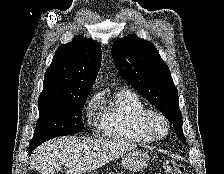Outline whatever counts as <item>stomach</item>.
Returning <instances> with one entry per match:
<instances>
[{"mask_svg":"<svg viewBox=\"0 0 224 174\" xmlns=\"http://www.w3.org/2000/svg\"><path fill=\"white\" fill-rule=\"evenodd\" d=\"M149 160V156L145 151L131 150L124 155L122 167L133 172L141 171L147 166Z\"/></svg>","mask_w":224,"mask_h":174,"instance_id":"0dacf381","label":"stomach"}]
</instances>
